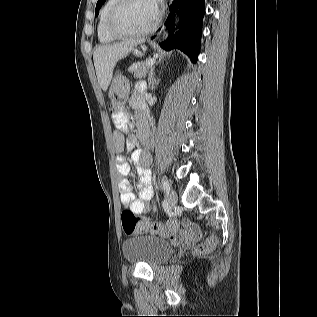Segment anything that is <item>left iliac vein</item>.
Wrapping results in <instances>:
<instances>
[{
    "instance_id": "4c4485c4",
    "label": "left iliac vein",
    "mask_w": 317,
    "mask_h": 317,
    "mask_svg": "<svg viewBox=\"0 0 317 317\" xmlns=\"http://www.w3.org/2000/svg\"><path fill=\"white\" fill-rule=\"evenodd\" d=\"M178 201L177 193L174 189H170L169 195H168V206L169 208H173Z\"/></svg>"
}]
</instances>
